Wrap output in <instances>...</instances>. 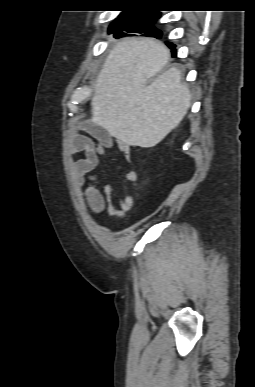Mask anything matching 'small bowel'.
Instances as JSON below:
<instances>
[{"mask_svg":"<svg viewBox=\"0 0 255 387\" xmlns=\"http://www.w3.org/2000/svg\"><path fill=\"white\" fill-rule=\"evenodd\" d=\"M114 141L103 127L88 121H76L73 124V133L70 140V153L75 156L83 153V157L75 160L72 167L73 180L76 189L86 199L89 208L94 213H101L105 209L109 213L122 219L127 218V211L132 206V198L124 195L117 199L111 185H105L103 192L96 186V177L91 175L99 163L100 155L112 149ZM117 149L123 153L128 163L132 162L130 146L123 141H117ZM138 174L129 170L124 175V184L136 182Z\"/></svg>","mask_w":255,"mask_h":387,"instance_id":"obj_1","label":"small bowel"}]
</instances>
